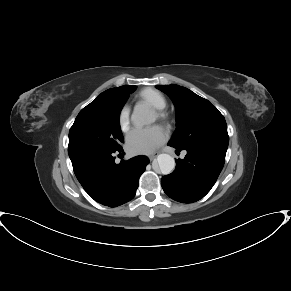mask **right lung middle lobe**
<instances>
[{
  "label": "right lung middle lobe",
  "instance_id": "right-lung-middle-lobe-1",
  "mask_svg": "<svg viewBox=\"0 0 291 291\" xmlns=\"http://www.w3.org/2000/svg\"><path fill=\"white\" fill-rule=\"evenodd\" d=\"M135 90L111 88L84 107L69 131V148L96 147L107 150L121 148L124 141L119 115L129 94Z\"/></svg>",
  "mask_w": 291,
  "mask_h": 291
}]
</instances>
